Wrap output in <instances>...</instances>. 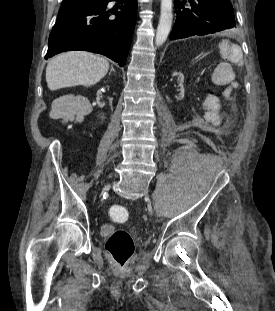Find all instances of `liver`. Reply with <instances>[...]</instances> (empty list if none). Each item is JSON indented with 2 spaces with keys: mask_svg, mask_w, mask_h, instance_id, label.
Listing matches in <instances>:
<instances>
[{
  "mask_svg": "<svg viewBox=\"0 0 275 311\" xmlns=\"http://www.w3.org/2000/svg\"><path fill=\"white\" fill-rule=\"evenodd\" d=\"M106 59L84 51H70L51 59L46 67V82L51 91L65 87L98 83L108 73Z\"/></svg>",
  "mask_w": 275,
  "mask_h": 311,
  "instance_id": "liver-1",
  "label": "liver"
}]
</instances>
